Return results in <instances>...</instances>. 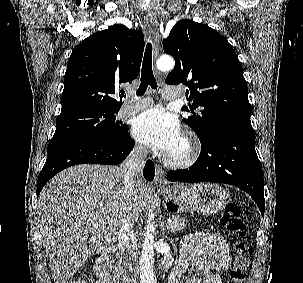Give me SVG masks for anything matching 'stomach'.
Segmentation results:
<instances>
[{"mask_svg":"<svg viewBox=\"0 0 303 283\" xmlns=\"http://www.w3.org/2000/svg\"><path fill=\"white\" fill-rule=\"evenodd\" d=\"M165 207L170 211L190 210L203 215H212L227 204L224 189L215 184H195L181 189L163 188Z\"/></svg>","mask_w":303,"mask_h":283,"instance_id":"0dacf381","label":"stomach"}]
</instances>
